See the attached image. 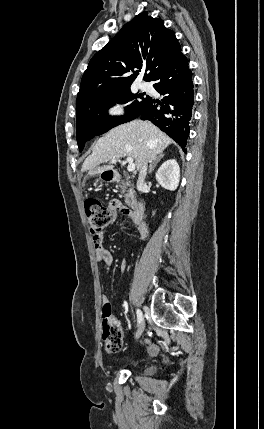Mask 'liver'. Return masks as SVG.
Wrapping results in <instances>:
<instances>
[{
    "mask_svg": "<svg viewBox=\"0 0 264 429\" xmlns=\"http://www.w3.org/2000/svg\"><path fill=\"white\" fill-rule=\"evenodd\" d=\"M171 143L172 139L151 122L134 120L113 128L100 138L81 171L92 176L113 170V166L100 165L125 156L134 158L136 168L140 170L146 161L152 162Z\"/></svg>",
    "mask_w": 264,
    "mask_h": 429,
    "instance_id": "6515ba94",
    "label": "liver"
}]
</instances>
